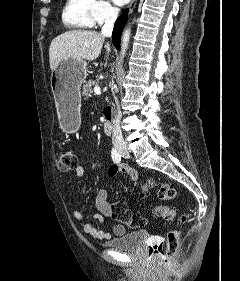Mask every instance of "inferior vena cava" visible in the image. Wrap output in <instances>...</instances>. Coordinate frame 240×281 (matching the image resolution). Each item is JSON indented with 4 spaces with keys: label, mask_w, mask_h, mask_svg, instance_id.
I'll return each instance as SVG.
<instances>
[{
    "label": "inferior vena cava",
    "mask_w": 240,
    "mask_h": 281,
    "mask_svg": "<svg viewBox=\"0 0 240 281\" xmlns=\"http://www.w3.org/2000/svg\"><path fill=\"white\" fill-rule=\"evenodd\" d=\"M118 16V8L111 7L109 10V13L106 17L105 24L103 25L101 29V33L105 37H111L113 26L116 21V18ZM122 114L120 111V108L117 106L116 108H113V131H112V143L113 144H123V136L121 132L120 127V120H121Z\"/></svg>",
    "instance_id": "602c4592"
}]
</instances>
